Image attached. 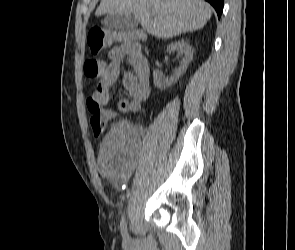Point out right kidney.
I'll list each match as a JSON object with an SVG mask.
<instances>
[{
  "label": "right kidney",
  "instance_id": "obj_1",
  "mask_svg": "<svg viewBox=\"0 0 295 250\" xmlns=\"http://www.w3.org/2000/svg\"><path fill=\"white\" fill-rule=\"evenodd\" d=\"M175 51H177L179 55H183V59L180 66L175 70L174 74L170 78H165L163 73L159 70H155L153 72L154 84L160 90H164L174 84L179 77L185 73L188 65L193 59L194 49L185 40L175 41L167 47V53Z\"/></svg>",
  "mask_w": 295,
  "mask_h": 250
}]
</instances>
